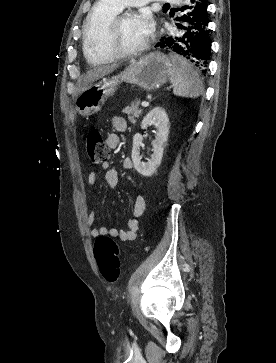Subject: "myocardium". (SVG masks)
Masks as SVG:
<instances>
[{
    "label": "myocardium",
    "instance_id": "obj_1",
    "mask_svg": "<svg viewBox=\"0 0 276 363\" xmlns=\"http://www.w3.org/2000/svg\"><path fill=\"white\" fill-rule=\"evenodd\" d=\"M132 15L133 13L130 11L117 14L107 28L105 37L106 49L115 58H125L140 55L148 48L150 44V37H148L141 45L133 49H124L118 45L117 38L121 23L126 17Z\"/></svg>",
    "mask_w": 276,
    "mask_h": 363
}]
</instances>
